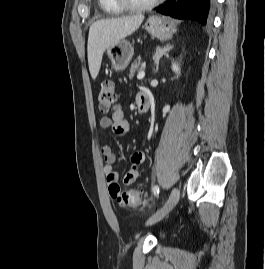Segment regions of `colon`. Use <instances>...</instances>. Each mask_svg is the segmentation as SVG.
<instances>
[{
    "label": "colon",
    "mask_w": 265,
    "mask_h": 269,
    "mask_svg": "<svg viewBox=\"0 0 265 269\" xmlns=\"http://www.w3.org/2000/svg\"><path fill=\"white\" fill-rule=\"evenodd\" d=\"M117 95L111 80L102 82L98 91V105L102 113H108L115 108ZM111 195L123 206L137 207L144 204V195L140 190L120 191L119 187H110Z\"/></svg>",
    "instance_id": "obj_1"
}]
</instances>
